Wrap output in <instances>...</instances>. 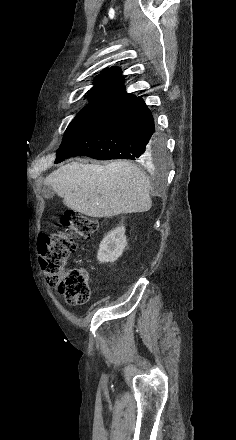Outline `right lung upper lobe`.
<instances>
[{
    "mask_svg": "<svg viewBox=\"0 0 236 440\" xmlns=\"http://www.w3.org/2000/svg\"><path fill=\"white\" fill-rule=\"evenodd\" d=\"M94 80L86 96L90 104L115 108L135 98V95L126 92L122 72L118 67L104 70Z\"/></svg>",
    "mask_w": 236,
    "mask_h": 440,
    "instance_id": "right-lung-upper-lobe-1",
    "label": "right lung upper lobe"
}]
</instances>
